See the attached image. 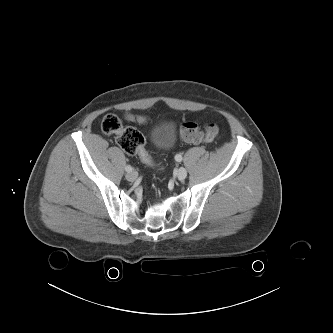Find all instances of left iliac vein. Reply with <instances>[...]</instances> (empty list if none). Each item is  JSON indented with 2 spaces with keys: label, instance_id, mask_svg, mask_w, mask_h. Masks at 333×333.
I'll return each mask as SVG.
<instances>
[{
  "label": "left iliac vein",
  "instance_id": "obj_1",
  "mask_svg": "<svg viewBox=\"0 0 333 333\" xmlns=\"http://www.w3.org/2000/svg\"><path fill=\"white\" fill-rule=\"evenodd\" d=\"M187 176V171L184 167H180L178 170H177V178L182 181L186 178Z\"/></svg>",
  "mask_w": 333,
  "mask_h": 333
}]
</instances>
